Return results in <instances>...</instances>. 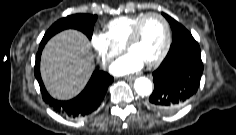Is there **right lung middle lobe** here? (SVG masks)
<instances>
[{"label": "right lung middle lobe", "mask_w": 236, "mask_h": 135, "mask_svg": "<svg viewBox=\"0 0 236 135\" xmlns=\"http://www.w3.org/2000/svg\"><path fill=\"white\" fill-rule=\"evenodd\" d=\"M96 19V15L89 14H75L62 18L48 29L41 43H46L53 35L68 28L80 30L91 39Z\"/></svg>", "instance_id": "1"}]
</instances>
